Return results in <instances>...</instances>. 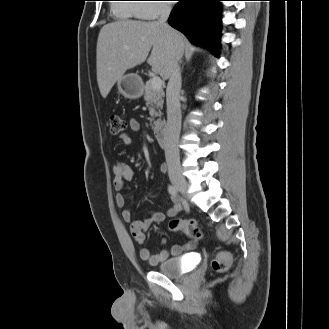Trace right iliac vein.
I'll use <instances>...</instances> for the list:
<instances>
[{"instance_id":"63e3f726","label":"right iliac vein","mask_w":329,"mask_h":329,"mask_svg":"<svg viewBox=\"0 0 329 329\" xmlns=\"http://www.w3.org/2000/svg\"><path fill=\"white\" fill-rule=\"evenodd\" d=\"M171 181L173 185L184 195L187 194L188 191V183L182 177H172Z\"/></svg>"}]
</instances>
